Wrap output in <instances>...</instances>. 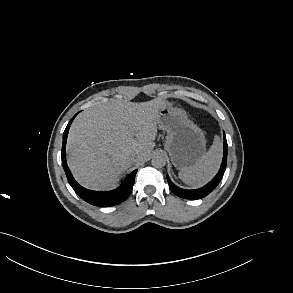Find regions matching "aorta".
<instances>
[{
    "mask_svg": "<svg viewBox=\"0 0 293 293\" xmlns=\"http://www.w3.org/2000/svg\"><path fill=\"white\" fill-rule=\"evenodd\" d=\"M152 165L156 168H162L166 165V157L161 154H156L152 158Z\"/></svg>",
    "mask_w": 293,
    "mask_h": 293,
    "instance_id": "aorta-1",
    "label": "aorta"
}]
</instances>
